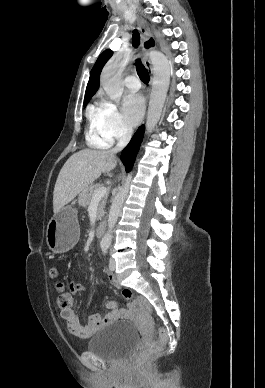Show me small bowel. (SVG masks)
Here are the masks:
<instances>
[{
    "label": "small bowel",
    "mask_w": 265,
    "mask_h": 388,
    "mask_svg": "<svg viewBox=\"0 0 265 388\" xmlns=\"http://www.w3.org/2000/svg\"><path fill=\"white\" fill-rule=\"evenodd\" d=\"M107 282L114 288H117L118 282L115 276L111 273H106ZM69 289L72 293H81L84 288L80 283L71 282ZM122 316V312L119 310L111 311L105 315L94 314L89 317L88 322L83 324L78 314L71 308L63 309L61 311V317L66 322L69 332L79 338L88 339L92 337L103 326L111 323Z\"/></svg>",
    "instance_id": "c3829d8e"
}]
</instances>
